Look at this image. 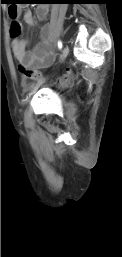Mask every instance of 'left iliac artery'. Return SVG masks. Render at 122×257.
I'll return each mask as SVG.
<instances>
[{
  "label": "left iliac artery",
  "mask_w": 122,
  "mask_h": 257,
  "mask_svg": "<svg viewBox=\"0 0 122 257\" xmlns=\"http://www.w3.org/2000/svg\"><path fill=\"white\" fill-rule=\"evenodd\" d=\"M57 45H58L59 49H62V47H63L62 41L59 40Z\"/></svg>",
  "instance_id": "obj_1"
}]
</instances>
